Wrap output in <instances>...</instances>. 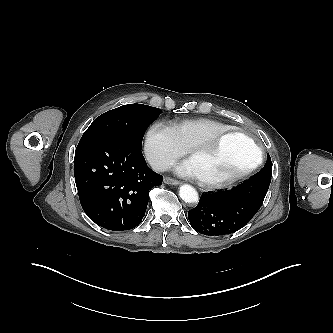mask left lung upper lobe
Wrapping results in <instances>:
<instances>
[{"label": "left lung upper lobe", "instance_id": "1", "mask_svg": "<svg viewBox=\"0 0 333 333\" xmlns=\"http://www.w3.org/2000/svg\"><path fill=\"white\" fill-rule=\"evenodd\" d=\"M260 175H272V162H271V158L270 155H267V162L265 164V166L255 175H253L252 177H257Z\"/></svg>", "mask_w": 333, "mask_h": 333}]
</instances>
